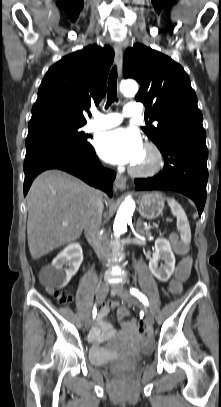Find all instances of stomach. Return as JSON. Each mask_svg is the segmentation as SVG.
<instances>
[{
	"label": "stomach",
	"instance_id": "obj_1",
	"mask_svg": "<svg viewBox=\"0 0 221 407\" xmlns=\"http://www.w3.org/2000/svg\"><path fill=\"white\" fill-rule=\"evenodd\" d=\"M164 198L160 193L152 192L142 195L139 204V213L147 219L157 218L163 211Z\"/></svg>",
	"mask_w": 221,
	"mask_h": 407
}]
</instances>
